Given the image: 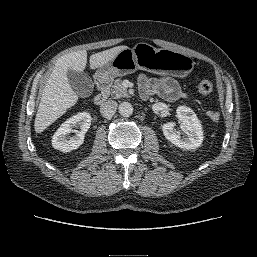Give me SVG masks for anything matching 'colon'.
<instances>
[{"mask_svg":"<svg viewBox=\"0 0 257 257\" xmlns=\"http://www.w3.org/2000/svg\"><path fill=\"white\" fill-rule=\"evenodd\" d=\"M198 91L201 95H209L212 93L213 91V85L210 81L208 80H202L199 84H198ZM209 119H211L212 121H218L220 118V115L218 112L216 111H209L207 113Z\"/></svg>","mask_w":257,"mask_h":257,"instance_id":"1","label":"colon"}]
</instances>
